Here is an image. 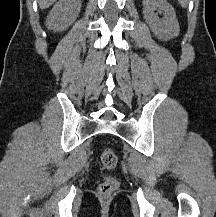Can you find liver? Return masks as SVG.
<instances>
[{"label":"liver","instance_id":"1","mask_svg":"<svg viewBox=\"0 0 216 217\" xmlns=\"http://www.w3.org/2000/svg\"><path fill=\"white\" fill-rule=\"evenodd\" d=\"M57 0H38L39 7L41 9H46L55 3Z\"/></svg>","mask_w":216,"mask_h":217}]
</instances>
